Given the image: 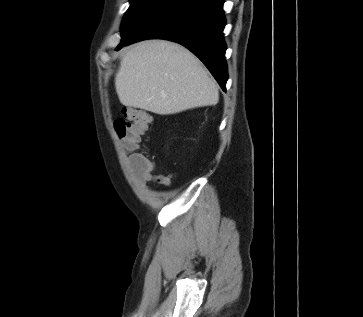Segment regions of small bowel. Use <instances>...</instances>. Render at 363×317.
Masks as SVG:
<instances>
[{
  "mask_svg": "<svg viewBox=\"0 0 363 317\" xmlns=\"http://www.w3.org/2000/svg\"><path fill=\"white\" fill-rule=\"evenodd\" d=\"M144 162L140 165L131 164L132 168L141 176V183L147 184L158 182L162 185H170V178L167 175L156 173L155 164L144 155Z\"/></svg>",
  "mask_w": 363,
  "mask_h": 317,
  "instance_id": "small-bowel-1",
  "label": "small bowel"
}]
</instances>
